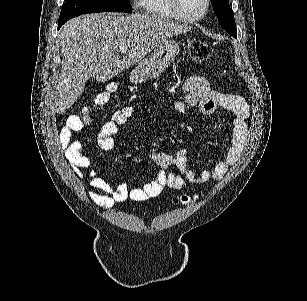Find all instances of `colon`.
Wrapping results in <instances>:
<instances>
[{
    "mask_svg": "<svg viewBox=\"0 0 307 301\" xmlns=\"http://www.w3.org/2000/svg\"><path fill=\"white\" fill-rule=\"evenodd\" d=\"M189 54L194 61L204 62L211 58L213 54L212 47L200 40H193L189 44ZM116 90L115 84H108L105 89L97 93L93 99V103L97 106L106 104L109 101L110 94ZM81 123L85 126H90L93 122V117L86 111L81 116ZM191 200V197L188 195H182L177 198V202L187 203Z\"/></svg>",
    "mask_w": 307,
    "mask_h": 301,
    "instance_id": "1",
    "label": "colon"
}]
</instances>
